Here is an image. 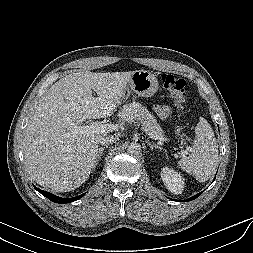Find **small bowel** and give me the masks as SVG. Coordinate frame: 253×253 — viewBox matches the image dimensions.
<instances>
[{
	"label": "small bowel",
	"instance_id": "small-bowel-1",
	"mask_svg": "<svg viewBox=\"0 0 253 253\" xmlns=\"http://www.w3.org/2000/svg\"><path fill=\"white\" fill-rule=\"evenodd\" d=\"M158 112H159L161 117L165 118V117H167V115L169 113V109L166 108V107H159Z\"/></svg>",
	"mask_w": 253,
	"mask_h": 253
}]
</instances>
